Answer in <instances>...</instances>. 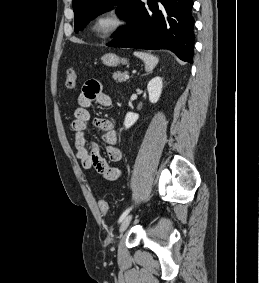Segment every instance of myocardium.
Masks as SVG:
<instances>
[{"instance_id": "f54148a6", "label": "myocardium", "mask_w": 259, "mask_h": 283, "mask_svg": "<svg viewBox=\"0 0 259 283\" xmlns=\"http://www.w3.org/2000/svg\"><path fill=\"white\" fill-rule=\"evenodd\" d=\"M104 19L112 21L111 27L104 31L98 32L97 25ZM126 24V18L118 6H109L101 10L92 20L90 29L93 35L98 39H108L117 34Z\"/></svg>"}]
</instances>
